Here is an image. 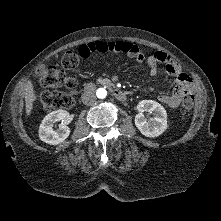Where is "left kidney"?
<instances>
[{"label":"left kidney","instance_id":"obj_1","mask_svg":"<svg viewBox=\"0 0 221 221\" xmlns=\"http://www.w3.org/2000/svg\"><path fill=\"white\" fill-rule=\"evenodd\" d=\"M137 110L139 113L135 116V125L146 137H158L167 129V112L158 102L142 100L137 105ZM146 111L154 115L150 121H147L143 114Z\"/></svg>","mask_w":221,"mask_h":221}]
</instances>
